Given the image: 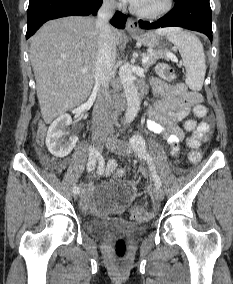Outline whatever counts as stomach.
Masks as SVG:
<instances>
[{
	"label": "stomach",
	"mask_w": 233,
	"mask_h": 284,
	"mask_svg": "<svg viewBox=\"0 0 233 284\" xmlns=\"http://www.w3.org/2000/svg\"><path fill=\"white\" fill-rule=\"evenodd\" d=\"M135 40L142 43L146 47L154 50H161V39L157 32L147 31L131 35Z\"/></svg>",
	"instance_id": "stomach-1"
}]
</instances>
